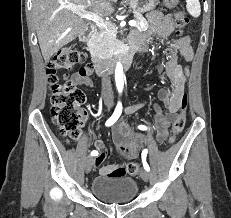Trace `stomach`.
Masks as SVG:
<instances>
[{"label":"stomach","instance_id":"stomach-1","mask_svg":"<svg viewBox=\"0 0 231 218\" xmlns=\"http://www.w3.org/2000/svg\"><path fill=\"white\" fill-rule=\"evenodd\" d=\"M158 3L159 0H130V6L138 13L151 11Z\"/></svg>","mask_w":231,"mask_h":218}]
</instances>
